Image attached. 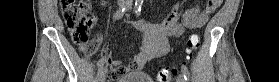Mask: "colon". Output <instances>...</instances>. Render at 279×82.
Instances as JSON below:
<instances>
[{
    "instance_id": "1",
    "label": "colon",
    "mask_w": 279,
    "mask_h": 82,
    "mask_svg": "<svg viewBox=\"0 0 279 82\" xmlns=\"http://www.w3.org/2000/svg\"><path fill=\"white\" fill-rule=\"evenodd\" d=\"M62 17L65 26L71 33L72 40L78 46L84 47L86 56L92 54L93 48L89 43V33L94 26L95 19L90 14V1L88 0H59ZM207 3L212 7H219L222 0H208ZM200 45V36L192 34L187 42L186 52L196 50ZM177 72L176 67L160 69L156 74V82H170L173 75Z\"/></svg>"
}]
</instances>
